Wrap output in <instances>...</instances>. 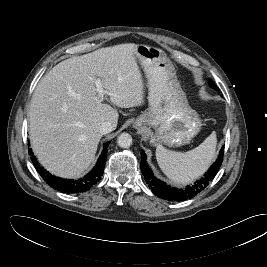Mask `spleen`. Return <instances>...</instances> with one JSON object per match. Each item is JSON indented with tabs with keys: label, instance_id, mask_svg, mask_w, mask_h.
<instances>
[{
	"label": "spleen",
	"instance_id": "spleen-1",
	"mask_svg": "<svg viewBox=\"0 0 267 267\" xmlns=\"http://www.w3.org/2000/svg\"><path fill=\"white\" fill-rule=\"evenodd\" d=\"M216 132H212L198 147L187 152L156 148V159L163 173L176 183H189L203 174L215 157Z\"/></svg>",
	"mask_w": 267,
	"mask_h": 267
}]
</instances>
